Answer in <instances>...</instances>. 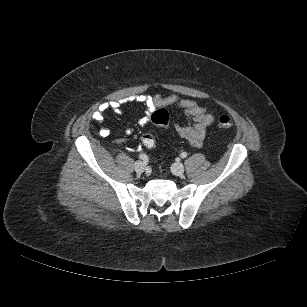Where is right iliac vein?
Listing matches in <instances>:
<instances>
[{"mask_svg": "<svg viewBox=\"0 0 307 307\" xmlns=\"http://www.w3.org/2000/svg\"><path fill=\"white\" fill-rule=\"evenodd\" d=\"M134 169L137 173H142L146 169V165L142 161H137L134 164Z\"/></svg>", "mask_w": 307, "mask_h": 307, "instance_id": "1", "label": "right iliac vein"}]
</instances>
